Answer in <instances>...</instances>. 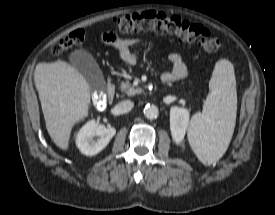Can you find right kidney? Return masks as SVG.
<instances>
[{
    "instance_id": "obj_1",
    "label": "right kidney",
    "mask_w": 275,
    "mask_h": 215,
    "mask_svg": "<svg viewBox=\"0 0 275 215\" xmlns=\"http://www.w3.org/2000/svg\"><path fill=\"white\" fill-rule=\"evenodd\" d=\"M113 127H106L94 120L87 122L76 136V145L86 156H93L102 151L115 135ZM98 137L96 140L94 137Z\"/></svg>"
}]
</instances>
